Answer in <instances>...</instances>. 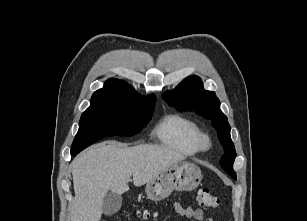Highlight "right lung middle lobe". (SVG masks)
<instances>
[{
  "label": "right lung middle lobe",
  "mask_w": 307,
  "mask_h": 221,
  "mask_svg": "<svg viewBox=\"0 0 307 221\" xmlns=\"http://www.w3.org/2000/svg\"><path fill=\"white\" fill-rule=\"evenodd\" d=\"M155 102L98 101L83 112L71 155L108 136H132L151 119Z\"/></svg>",
  "instance_id": "1"
}]
</instances>
